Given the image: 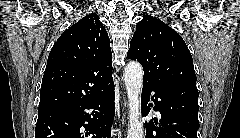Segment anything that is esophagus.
Listing matches in <instances>:
<instances>
[{"mask_svg":"<svg viewBox=\"0 0 240 138\" xmlns=\"http://www.w3.org/2000/svg\"><path fill=\"white\" fill-rule=\"evenodd\" d=\"M126 116H125V114L123 113V117H122V123L124 124L125 122H126Z\"/></svg>","mask_w":240,"mask_h":138,"instance_id":"34e87169","label":"esophagus"}]
</instances>
